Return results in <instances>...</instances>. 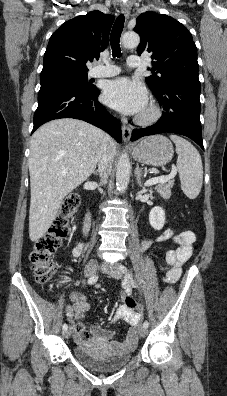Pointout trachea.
I'll use <instances>...</instances> for the list:
<instances>
[{
	"instance_id": "1",
	"label": "trachea",
	"mask_w": 227,
	"mask_h": 396,
	"mask_svg": "<svg viewBox=\"0 0 227 396\" xmlns=\"http://www.w3.org/2000/svg\"><path fill=\"white\" fill-rule=\"evenodd\" d=\"M125 17L123 14H120L111 31L110 35V45L112 48V56L120 57L121 56V49H120V37L124 26Z\"/></svg>"
}]
</instances>
